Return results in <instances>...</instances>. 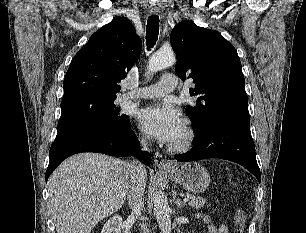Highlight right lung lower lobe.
I'll return each instance as SVG.
<instances>
[{"label":"right lung lower lobe","mask_w":306,"mask_h":233,"mask_svg":"<svg viewBox=\"0 0 306 233\" xmlns=\"http://www.w3.org/2000/svg\"><path fill=\"white\" fill-rule=\"evenodd\" d=\"M139 142L130 129V122L120 129L109 126L92 125L56 136L51 145L46 182L55 168L67 157L81 152H97L115 156H129L133 153L141 162L149 165V153L137 154Z\"/></svg>","instance_id":"98d812e1"}]
</instances>
